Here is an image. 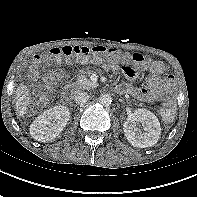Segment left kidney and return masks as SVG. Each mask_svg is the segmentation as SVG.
Here are the masks:
<instances>
[{"instance_id": "left-kidney-1", "label": "left kidney", "mask_w": 197, "mask_h": 197, "mask_svg": "<svg viewBox=\"0 0 197 197\" xmlns=\"http://www.w3.org/2000/svg\"><path fill=\"white\" fill-rule=\"evenodd\" d=\"M132 120L142 123L144 132H137L129 121L123 125L125 136L128 142L139 148H146L155 145L161 135V127L158 118L147 109H137L132 115Z\"/></svg>"}]
</instances>
